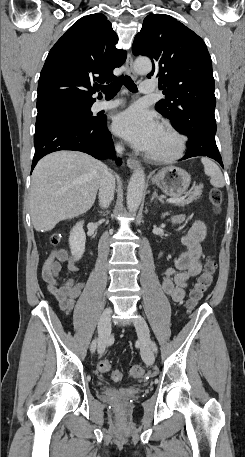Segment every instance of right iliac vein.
Wrapping results in <instances>:
<instances>
[{"label": "right iliac vein", "instance_id": "63e3f726", "mask_svg": "<svg viewBox=\"0 0 245 457\" xmlns=\"http://www.w3.org/2000/svg\"><path fill=\"white\" fill-rule=\"evenodd\" d=\"M112 308L107 307L98 322V352L100 355L105 351V347L108 342L110 335V320H111Z\"/></svg>", "mask_w": 245, "mask_h": 457}]
</instances>
